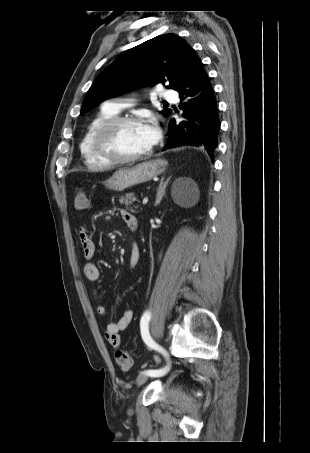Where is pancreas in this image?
I'll use <instances>...</instances> for the list:
<instances>
[{
	"instance_id": "1",
	"label": "pancreas",
	"mask_w": 310,
	"mask_h": 453,
	"mask_svg": "<svg viewBox=\"0 0 310 453\" xmlns=\"http://www.w3.org/2000/svg\"><path fill=\"white\" fill-rule=\"evenodd\" d=\"M134 201H137V198H136V196L134 195V193H127V194L125 195V197H121V198L119 199V202H120L121 204H124V205L126 206V208H129V207H130L131 209H133V208L131 207V205L133 204ZM134 208H137V206H134Z\"/></svg>"
}]
</instances>
